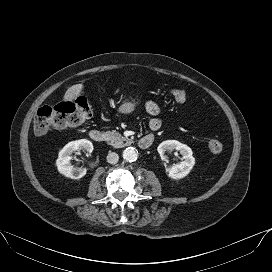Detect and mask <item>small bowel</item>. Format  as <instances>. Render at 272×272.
Wrapping results in <instances>:
<instances>
[{
	"label": "small bowel",
	"mask_w": 272,
	"mask_h": 272,
	"mask_svg": "<svg viewBox=\"0 0 272 272\" xmlns=\"http://www.w3.org/2000/svg\"><path fill=\"white\" fill-rule=\"evenodd\" d=\"M145 109L147 113L151 116L149 120L150 130L153 132L159 130L162 125V121L161 118L159 117L160 107L158 106V104L153 101H148L145 104Z\"/></svg>",
	"instance_id": "c3829d8e"
}]
</instances>
